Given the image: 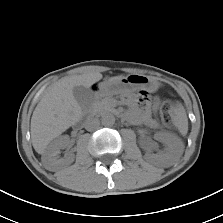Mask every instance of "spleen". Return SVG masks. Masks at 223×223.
<instances>
[{
  "label": "spleen",
  "instance_id": "spleen-1",
  "mask_svg": "<svg viewBox=\"0 0 223 223\" xmlns=\"http://www.w3.org/2000/svg\"><path fill=\"white\" fill-rule=\"evenodd\" d=\"M175 114H176V121L180 131L182 133H185L188 129L187 115L184 107L179 103L176 105Z\"/></svg>",
  "mask_w": 223,
  "mask_h": 223
}]
</instances>
